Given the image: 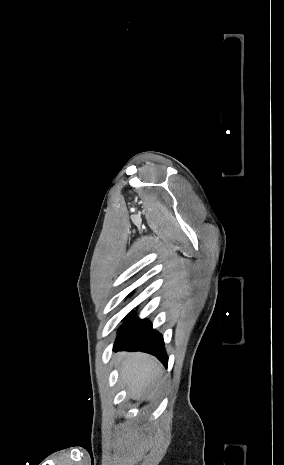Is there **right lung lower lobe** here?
<instances>
[{
    "label": "right lung lower lobe",
    "mask_w": 284,
    "mask_h": 465,
    "mask_svg": "<svg viewBox=\"0 0 284 465\" xmlns=\"http://www.w3.org/2000/svg\"><path fill=\"white\" fill-rule=\"evenodd\" d=\"M142 351L156 356L165 366L168 357L161 334L152 329L147 320H140L133 315L126 318L114 343L113 351Z\"/></svg>",
    "instance_id": "98d812e1"
}]
</instances>
